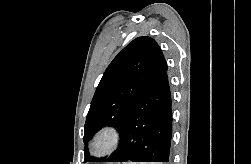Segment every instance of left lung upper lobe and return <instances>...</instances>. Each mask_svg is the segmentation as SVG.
Instances as JSON below:
<instances>
[{"label":"left lung upper lobe","mask_w":251,"mask_h":164,"mask_svg":"<svg viewBox=\"0 0 251 164\" xmlns=\"http://www.w3.org/2000/svg\"><path fill=\"white\" fill-rule=\"evenodd\" d=\"M167 70L163 53L154 39L138 37L110 63L95 91L84 126V143L103 126H113L121 133L127 115L141 93ZM100 162L105 158H89Z\"/></svg>","instance_id":"obj_1"}]
</instances>
